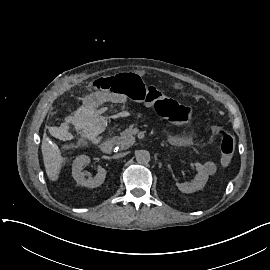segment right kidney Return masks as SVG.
<instances>
[{"instance_id": "ca27d5eb", "label": "right kidney", "mask_w": 270, "mask_h": 270, "mask_svg": "<svg viewBox=\"0 0 270 270\" xmlns=\"http://www.w3.org/2000/svg\"><path fill=\"white\" fill-rule=\"evenodd\" d=\"M90 163V158L86 155H79L73 161L72 165V176L76 182L82 186L88 188H95L100 186L106 177V170L101 166H98V173L95 177L85 178L84 173H82L83 166Z\"/></svg>"}]
</instances>
